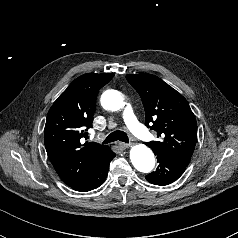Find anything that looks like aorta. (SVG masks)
Listing matches in <instances>:
<instances>
[{"label":"aorta","instance_id":"aorta-1","mask_svg":"<svg viewBox=\"0 0 238 238\" xmlns=\"http://www.w3.org/2000/svg\"><path fill=\"white\" fill-rule=\"evenodd\" d=\"M123 97L117 90H108L101 97V105L104 109L117 111L123 107ZM130 159L140 172L149 173L155 166V158L153 152L144 144H138L131 148Z\"/></svg>","mask_w":238,"mask_h":238}]
</instances>
